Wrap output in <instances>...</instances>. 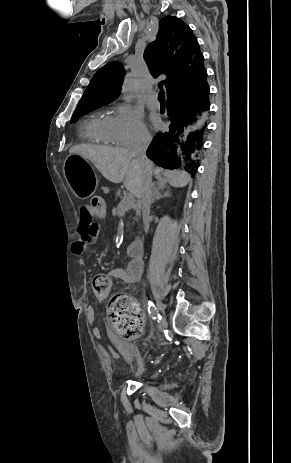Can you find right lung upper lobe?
Returning <instances> with one entry per match:
<instances>
[{"instance_id": "cb5924a9", "label": "right lung upper lobe", "mask_w": 291, "mask_h": 463, "mask_svg": "<svg viewBox=\"0 0 291 463\" xmlns=\"http://www.w3.org/2000/svg\"><path fill=\"white\" fill-rule=\"evenodd\" d=\"M144 60L155 77L167 74L165 82L159 86L165 84L168 97L194 92L206 73L196 37L177 17L166 16L160 20L157 38L146 47ZM123 77L124 69L120 63L106 64L93 76L78 106L104 105L115 100Z\"/></svg>"}]
</instances>
